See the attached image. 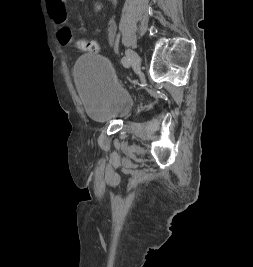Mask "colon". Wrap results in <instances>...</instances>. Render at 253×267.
<instances>
[{"instance_id": "1", "label": "colon", "mask_w": 253, "mask_h": 267, "mask_svg": "<svg viewBox=\"0 0 253 267\" xmlns=\"http://www.w3.org/2000/svg\"><path fill=\"white\" fill-rule=\"evenodd\" d=\"M57 39L63 46L72 48L79 52L98 53L99 44L95 40H87L77 36L68 26H62L57 32Z\"/></svg>"}]
</instances>
